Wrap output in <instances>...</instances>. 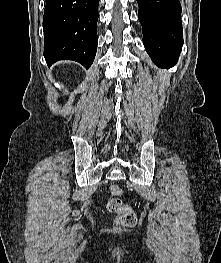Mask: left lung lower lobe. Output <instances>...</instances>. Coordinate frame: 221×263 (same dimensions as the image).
I'll return each mask as SVG.
<instances>
[{"mask_svg": "<svg viewBox=\"0 0 221 263\" xmlns=\"http://www.w3.org/2000/svg\"><path fill=\"white\" fill-rule=\"evenodd\" d=\"M143 44L153 62L161 68L173 67L183 45L179 0H137Z\"/></svg>", "mask_w": 221, "mask_h": 263, "instance_id": "0a47b994", "label": "left lung lower lobe"}]
</instances>
